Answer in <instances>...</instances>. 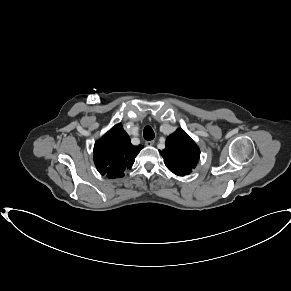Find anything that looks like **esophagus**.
Here are the masks:
<instances>
[{"mask_svg":"<svg viewBox=\"0 0 291 291\" xmlns=\"http://www.w3.org/2000/svg\"><path fill=\"white\" fill-rule=\"evenodd\" d=\"M145 145L146 146H152V145H154V140H148V141H146L145 142Z\"/></svg>","mask_w":291,"mask_h":291,"instance_id":"34e87169","label":"esophagus"}]
</instances>
